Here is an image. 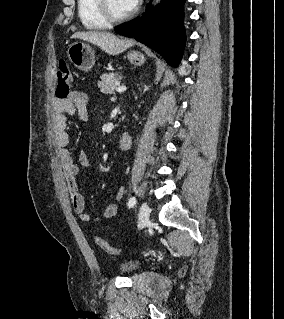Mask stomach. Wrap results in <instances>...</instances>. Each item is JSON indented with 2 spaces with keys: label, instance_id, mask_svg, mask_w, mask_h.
I'll use <instances>...</instances> for the list:
<instances>
[{
  "label": "stomach",
  "instance_id": "obj_1",
  "mask_svg": "<svg viewBox=\"0 0 284 319\" xmlns=\"http://www.w3.org/2000/svg\"><path fill=\"white\" fill-rule=\"evenodd\" d=\"M67 55L74 66L82 71H89L95 63L94 50L89 44L83 42L72 43ZM127 57L130 63L136 66H141L146 61L144 55L139 52H130Z\"/></svg>",
  "mask_w": 284,
  "mask_h": 319
}]
</instances>
